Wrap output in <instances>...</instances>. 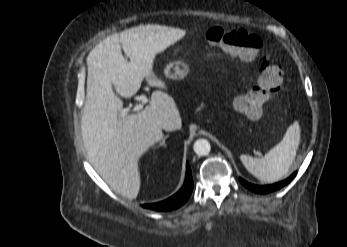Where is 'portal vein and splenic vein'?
<instances>
[{"label":"portal vein and splenic vein","instance_id":"1","mask_svg":"<svg viewBox=\"0 0 347 247\" xmlns=\"http://www.w3.org/2000/svg\"><path fill=\"white\" fill-rule=\"evenodd\" d=\"M140 100H141V103L138 104V105H136V106L133 108L134 111H139V110H141V109L144 107V105L147 103V98H146V96H142ZM124 116H125V113H122V114L120 115V118H122V117H124Z\"/></svg>","mask_w":347,"mask_h":247}]
</instances>
